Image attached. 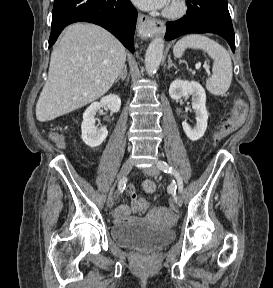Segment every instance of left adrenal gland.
Listing matches in <instances>:
<instances>
[{"mask_svg":"<svg viewBox=\"0 0 273 288\" xmlns=\"http://www.w3.org/2000/svg\"><path fill=\"white\" fill-rule=\"evenodd\" d=\"M171 67H174L175 69H177V67L172 63V60H171V58L169 57L167 69H170Z\"/></svg>","mask_w":273,"mask_h":288,"instance_id":"1","label":"left adrenal gland"}]
</instances>
